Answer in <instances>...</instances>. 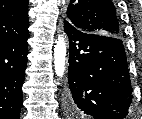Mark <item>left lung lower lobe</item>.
<instances>
[{
    "mask_svg": "<svg viewBox=\"0 0 142 119\" xmlns=\"http://www.w3.org/2000/svg\"><path fill=\"white\" fill-rule=\"evenodd\" d=\"M64 31L69 38V109L94 119H126L132 88L122 40L83 32L65 20Z\"/></svg>",
    "mask_w": 142,
    "mask_h": 119,
    "instance_id": "0a47b994",
    "label": "left lung lower lobe"
}]
</instances>
